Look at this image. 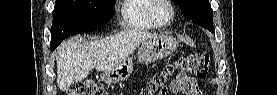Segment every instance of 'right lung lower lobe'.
<instances>
[{
	"label": "right lung lower lobe",
	"mask_w": 277,
	"mask_h": 95,
	"mask_svg": "<svg viewBox=\"0 0 277 95\" xmlns=\"http://www.w3.org/2000/svg\"><path fill=\"white\" fill-rule=\"evenodd\" d=\"M51 49L53 50V49H55V48H53V47L51 46Z\"/></svg>",
	"instance_id": "1"
}]
</instances>
